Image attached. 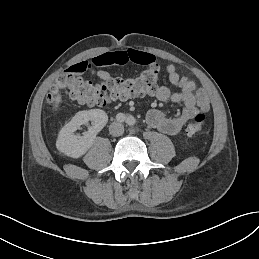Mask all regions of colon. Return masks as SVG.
Masks as SVG:
<instances>
[{"instance_id":"5ec220e1","label":"colon","mask_w":259,"mask_h":259,"mask_svg":"<svg viewBox=\"0 0 259 259\" xmlns=\"http://www.w3.org/2000/svg\"><path fill=\"white\" fill-rule=\"evenodd\" d=\"M159 69L155 64L134 77L109 78L102 84H94L73 73L61 75L49 94V102H54L60 95H65L79 103L89 106H106L112 102L123 101L132 97L153 94L157 89ZM207 126L205 115H197L186 126L190 136L201 133Z\"/></svg>"}]
</instances>
